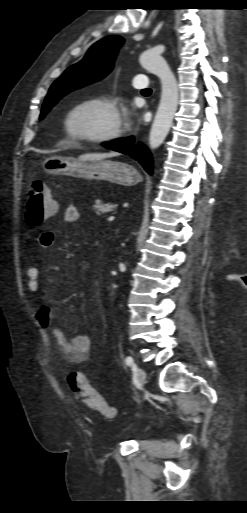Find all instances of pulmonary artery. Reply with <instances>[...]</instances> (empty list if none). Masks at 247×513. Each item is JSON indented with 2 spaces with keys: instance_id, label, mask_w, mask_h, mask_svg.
<instances>
[{
  "instance_id": "obj_1",
  "label": "pulmonary artery",
  "mask_w": 247,
  "mask_h": 513,
  "mask_svg": "<svg viewBox=\"0 0 247 513\" xmlns=\"http://www.w3.org/2000/svg\"><path fill=\"white\" fill-rule=\"evenodd\" d=\"M133 86L136 89H144V88L148 87L147 77L143 74L136 75L133 79Z\"/></svg>"
}]
</instances>
